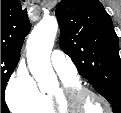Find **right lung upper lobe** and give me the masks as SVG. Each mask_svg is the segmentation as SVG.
I'll list each match as a JSON object with an SVG mask.
<instances>
[{
    "label": "right lung upper lobe",
    "instance_id": "obj_1",
    "mask_svg": "<svg viewBox=\"0 0 121 113\" xmlns=\"http://www.w3.org/2000/svg\"><path fill=\"white\" fill-rule=\"evenodd\" d=\"M30 28L26 9L17 0H1V54L20 58Z\"/></svg>",
    "mask_w": 121,
    "mask_h": 113
}]
</instances>
